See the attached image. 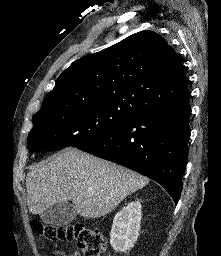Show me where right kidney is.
Here are the masks:
<instances>
[{"label": "right kidney", "instance_id": "right-kidney-1", "mask_svg": "<svg viewBox=\"0 0 221 256\" xmlns=\"http://www.w3.org/2000/svg\"><path fill=\"white\" fill-rule=\"evenodd\" d=\"M141 208L140 201L130 202L115 215L110 244L116 252L125 253L137 241L142 217Z\"/></svg>", "mask_w": 221, "mask_h": 256}]
</instances>
